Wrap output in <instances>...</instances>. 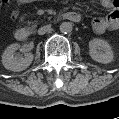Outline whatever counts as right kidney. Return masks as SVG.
Masks as SVG:
<instances>
[{
    "label": "right kidney",
    "mask_w": 119,
    "mask_h": 119,
    "mask_svg": "<svg viewBox=\"0 0 119 119\" xmlns=\"http://www.w3.org/2000/svg\"><path fill=\"white\" fill-rule=\"evenodd\" d=\"M17 43L7 47L2 55V64L8 70L19 72L25 70L33 61L32 53H25L24 57L14 56V52L18 50Z\"/></svg>",
    "instance_id": "1"
}]
</instances>
